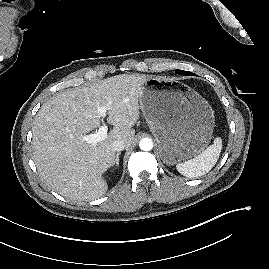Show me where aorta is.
Here are the masks:
<instances>
[{"label":"aorta","mask_w":269,"mask_h":269,"mask_svg":"<svg viewBox=\"0 0 269 269\" xmlns=\"http://www.w3.org/2000/svg\"><path fill=\"white\" fill-rule=\"evenodd\" d=\"M139 147L143 151H150L153 148V142L150 138H143L139 142Z\"/></svg>","instance_id":"762f6f07"}]
</instances>
